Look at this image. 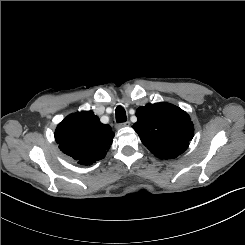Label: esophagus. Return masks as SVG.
Segmentation results:
<instances>
[{"instance_id": "obj_1", "label": "esophagus", "mask_w": 245, "mask_h": 245, "mask_svg": "<svg viewBox=\"0 0 245 245\" xmlns=\"http://www.w3.org/2000/svg\"><path fill=\"white\" fill-rule=\"evenodd\" d=\"M129 124H130V122L126 121V122H122V123L117 124L116 127L122 128V127L128 126Z\"/></svg>"}]
</instances>
